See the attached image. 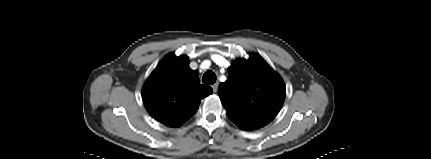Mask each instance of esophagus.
I'll return each mask as SVG.
<instances>
[{
  "instance_id": "34e87169",
  "label": "esophagus",
  "mask_w": 431,
  "mask_h": 159,
  "mask_svg": "<svg viewBox=\"0 0 431 159\" xmlns=\"http://www.w3.org/2000/svg\"><path fill=\"white\" fill-rule=\"evenodd\" d=\"M212 89H213V92H214V93H216V92H217V90H218V83H214V84L212 85Z\"/></svg>"
}]
</instances>
